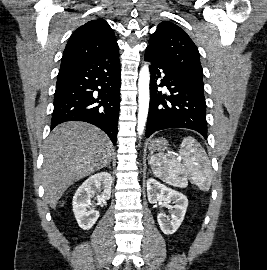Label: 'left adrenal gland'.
I'll return each instance as SVG.
<instances>
[{"mask_svg":"<svg viewBox=\"0 0 267 270\" xmlns=\"http://www.w3.org/2000/svg\"><path fill=\"white\" fill-rule=\"evenodd\" d=\"M148 174H151V170L148 171Z\"/></svg>","mask_w":267,"mask_h":270,"instance_id":"obj_1","label":"left adrenal gland"}]
</instances>
